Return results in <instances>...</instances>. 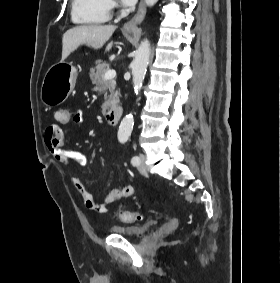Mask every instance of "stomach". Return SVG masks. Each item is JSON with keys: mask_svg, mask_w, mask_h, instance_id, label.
Returning a JSON list of instances; mask_svg holds the SVG:
<instances>
[{"mask_svg": "<svg viewBox=\"0 0 280 283\" xmlns=\"http://www.w3.org/2000/svg\"><path fill=\"white\" fill-rule=\"evenodd\" d=\"M76 79L77 70L71 63L59 62L52 65L43 78L40 93L42 103L46 106L63 103L74 89Z\"/></svg>", "mask_w": 280, "mask_h": 283, "instance_id": "0dacf381", "label": "stomach"}]
</instances>
